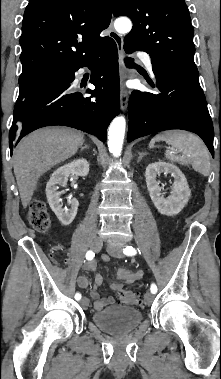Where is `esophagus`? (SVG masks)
Masks as SVG:
<instances>
[{
    "label": "esophagus",
    "mask_w": 221,
    "mask_h": 379,
    "mask_svg": "<svg viewBox=\"0 0 221 379\" xmlns=\"http://www.w3.org/2000/svg\"><path fill=\"white\" fill-rule=\"evenodd\" d=\"M109 36L115 41L119 56H120V73H121V89H120V107L122 111H125L128 106V96L129 92L125 87L126 80V69L123 64L124 51H123V38L120 34H118L113 28V22L111 21L108 27Z\"/></svg>",
    "instance_id": "obj_1"
}]
</instances>
